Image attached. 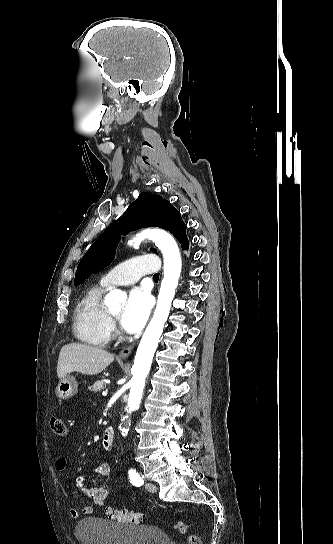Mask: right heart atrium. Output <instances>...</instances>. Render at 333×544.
Masks as SVG:
<instances>
[{
	"instance_id": "right-heart-atrium-1",
	"label": "right heart atrium",
	"mask_w": 333,
	"mask_h": 544,
	"mask_svg": "<svg viewBox=\"0 0 333 544\" xmlns=\"http://www.w3.org/2000/svg\"><path fill=\"white\" fill-rule=\"evenodd\" d=\"M110 327H111V329L113 328V325H112V323H111Z\"/></svg>"
}]
</instances>
